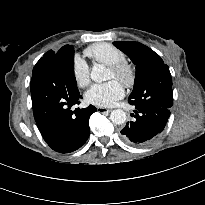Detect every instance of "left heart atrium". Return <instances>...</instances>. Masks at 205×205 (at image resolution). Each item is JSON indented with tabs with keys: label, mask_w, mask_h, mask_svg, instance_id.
<instances>
[{
	"label": "left heart atrium",
	"mask_w": 205,
	"mask_h": 205,
	"mask_svg": "<svg viewBox=\"0 0 205 205\" xmlns=\"http://www.w3.org/2000/svg\"><path fill=\"white\" fill-rule=\"evenodd\" d=\"M124 96L123 85L117 80L93 85L86 93L85 100L98 107H112Z\"/></svg>",
	"instance_id": "1"
}]
</instances>
